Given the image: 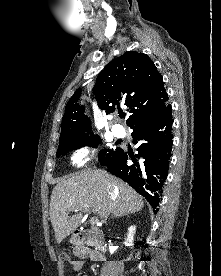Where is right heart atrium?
<instances>
[{"mask_svg":"<svg viewBox=\"0 0 221 276\" xmlns=\"http://www.w3.org/2000/svg\"><path fill=\"white\" fill-rule=\"evenodd\" d=\"M88 161V151L85 149H80L76 151L72 156V162L75 165L81 166Z\"/></svg>","mask_w":221,"mask_h":276,"instance_id":"right-heart-atrium-1","label":"right heart atrium"}]
</instances>
